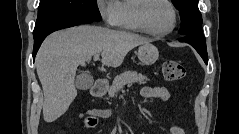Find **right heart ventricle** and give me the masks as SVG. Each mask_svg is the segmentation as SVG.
<instances>
[{"label":"right heart ventricle","instance_id":"1","mask_svg":"<svg viewBox=\"0 0 239 134\" xmlns=\"http://www.w3.org/2000/svg\"><path fill=\"white\" fill-rule=\"evenodd\" d=\"M139 0H123L118 2L117 27L132 32H140L141 29L136 23L134 11Z\"/></svg>","mask_w":239,"mask_h":134}]
</instances>
